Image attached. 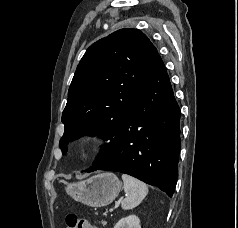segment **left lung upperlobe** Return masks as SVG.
I'll use <instances>...</instances> for the list:
<instances>
[{
	"instance_id": "obj_1",
	"label": "left lung upper lobe",
	"mask_w": 238,
	"mask_h": 228,
	"mask_svg": "<svg viewBox=\"0 0 238 228\" xmlns=\"http://www.w3.org/2000/svg\"><path fill=\"white\" fill-rule=\"evenodd\" d=\"M158 57L155 46L140 30L120 29L92 44L72 79L62 114L65 127L60 148L68 142L99 134L105 140L92 168L106 163L115 152L122 122Z\"/></svg>"
}]
</instances>
